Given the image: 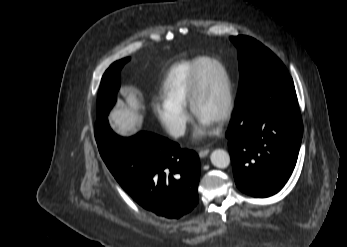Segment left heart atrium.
Returning <instances> with one entry per match:
<instances>
[{
    "instance_id": "obj_1",
    "label": "left heart atrium",
    "mask_w": 347,
    "mask_h": 247,
    "mask_svg": "<svg viewBox=\"0 0 347 247\" xmlns=\"http://www.w3.org/2000/svg\"><path fill=\"white\" fill-rule=\"evenodd\" d=\"M199 127L196 130V135L199 137L205 136L209 133L214 121L198 117Z\"/></svg>"
}]
</instances>
